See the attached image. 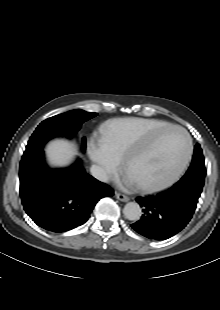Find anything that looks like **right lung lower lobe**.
<instances>
[{"instance_id":"98d812e1","label":"right lung lower lobe","mask_w":220,"mask_h":310,"mask_svg":"<svg viewBox=\"0 0 220 310\" xmlns=\"http://www.w3.org/2000/svg\"><path fill=\"white\" fill-rule=\"evenodd\" d=\"M20 196L26 213L40 227L65 232L84 224L96 203L113 190L77 161L67 169H50L43 149L24 152L19 168Z\"/></svg>"}]
</instances>
